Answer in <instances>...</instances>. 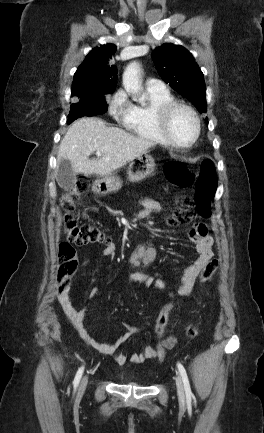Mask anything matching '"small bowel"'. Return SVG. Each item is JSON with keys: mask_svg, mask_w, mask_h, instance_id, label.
Wrapping results in <instances>:
<instances>
[{"mask_svg": "<svg viewBox=\"0 0 264 433\" xmlns=\"http://www.w3.org/2000/svg\"><path fill=\"white\" fill-rule=\"evenodd\" d=\"M143 215H147L150 212L160 211L162 209V205L154 200H145L142 202ZM189 238L192 242L195 243L197 258L188 266L181 278V284L177 291L178 296H187L191 293L193 286L196 282V279L199 273L202 271L206 263L213 257L212 252V238L208 235L207 228L203 224H195L189 231ZM104 257L114 258V246L112 243H108L105 245V248L102 252ZM88 259H85L83 264H86ZM129 282H141L147 287H155L159 290H166V283L162 279H156L149 275L142 274H134L129 277ZM71 286H66L62 291L59 292L58 302L69 319L79 336L82 340H84L88 345L99 351L103 354L114 355V359L118 365H124L127 359L136 364H140L149 359L158 358L159 349H170L176 343V338L174 336H168L163 339L160 343H156L155 345H148L140 352L132 353L128 357L119 351L120 347L133 335L139 333L142 328L133 327L128 324H123L126 329V332L119 336L115 341L111 343H102L93 339L86 328L84 327V315L86 306L81 308H76L70 298ZM97 293V288L92 286L88 292V300H92ZM170 296H173L172 293H169Z\"/></svg>", "mask_w": 264, "mask_h": 433, "instance_id": "obj_1", "label": "small bowel"}]
</instances>
